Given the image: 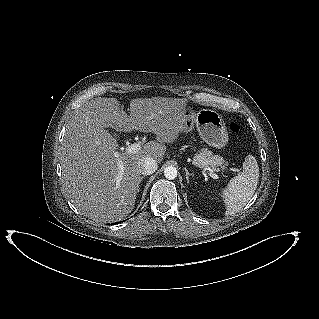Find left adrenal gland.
I'll return each instance as SVG.
<instances>
[{
    "label": "left adrenal gland",
    "mask_w": 319,
    "mask_h": 319,
    "mask_svg": "<svg viewBox=\"0 0 319 319\" xmlns=\"http://www.w3.org/2000/svg\"><path fill=\"white\" fill-rule=\"evenodd\" d=\"M184 170H185V172H186V180H187V182H189V177H190V176H192V177H193V176H194V174H193V173H189V172H188V170H187L186 168H184Z\"/></svg>",
    "instance_id": "1"
}]
</instances>
